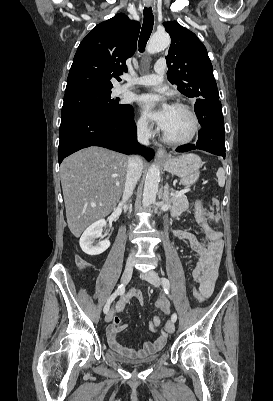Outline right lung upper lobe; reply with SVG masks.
I'll return each mask as SVG.
<instances>
[{
  "mask_svg": "<svg viewBox=\"0 0 273 401\" xmlns=\"http://www.w3.org/2000/svg\"><path fill=\"white\" fill-rule=\"evenodd\" d=\"M140 24L120 13L98 24L82 40L67 78L65 95L111 90V78L126 71L135 50Z\"/></svg>",
  "mask_w": 273,
  "mask_h": 401,
  "instance_id": "cb5924a9",
  "label": "right lung upper lobe"
}]
</instances>
